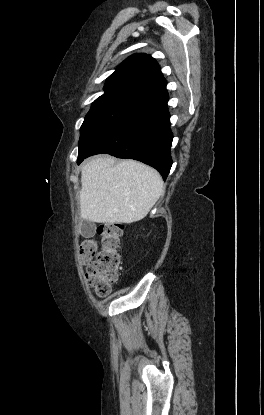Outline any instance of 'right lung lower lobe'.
<instances>
[{"label":"right lung lower lobe","instance_id":"right-lung-lower-lobe-1","mask_svg":"<svg viewBox=\"0 0 264 415\" xmlns=\"http://www.w3.org/2000/svg\"><path fill=\"white\" fill-rule=\"evenodd\" d=\"M168 98L165 92L134 106L86 148L79 150L78 164L91 155L108 153L146 163L157 169L165 180L172 166L173 139Z\"/></svg>","mask_w":264,"mask_h":415}]
</instances>
